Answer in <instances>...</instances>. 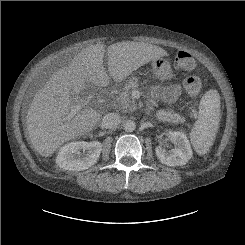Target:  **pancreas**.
<instances>
[{
    "mask_svg": "<svg viewBox=\"0 0 245 245\" xmlns=\"http://www.w3.org/2000/svg\"><path fill=\"white\" fill-rule=\"evenodd\" d=\"M139 86L137 78H130L123 91L118 97V102L124 112L134 111L136 109L135 101L130 98L133 90L137 89ZM156 117L158 120L163 122L179 123L184 122L185 119L174 113L170 109H160L156 112Z\"/></svg>",
    "mask_w": 245,
    "mask_h": 245,
    "instance_id": "pancreas-1",
    "label": "pancreas"
}]
</instances>
